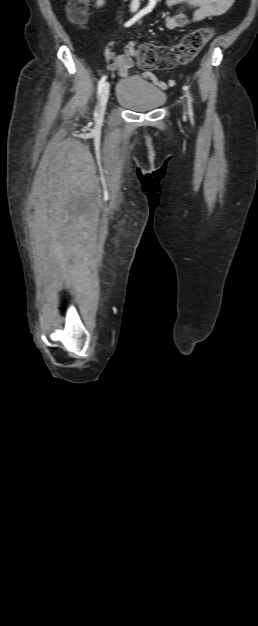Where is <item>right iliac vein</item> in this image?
<instances>
[{
	"mask_svg": "<svg viewBox=\"0 0 258 626\" xmlns=\"http://www.w3.org/2000/svg\"><path fill=\"white\" fill-rule=\"evenodd\" d=\"M109 90H110V85L109 83H106L102 89V94H101L100 103H99L98 119H102L104 117L107 102L109 99Z\"/></svg>",
	"mask_w": 258,
	"mask_h": 626,
	"instance_id": "1",
	"label": "right iliac vein"
}]
</instances>
